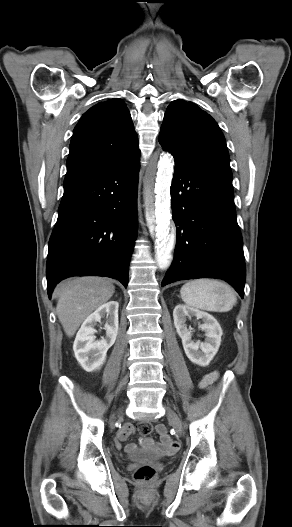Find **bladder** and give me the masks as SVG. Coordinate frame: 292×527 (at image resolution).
Instances as JSON below:
<instances>
[{"label": "bladder", "mask_w": 292, "mask_h": 527, "mask_svg": "<svg viewBox=\"0 0 292 527\" xmlns=\"http://www.w3.org/2000/svg\"><path fill=\"white\" fill-rule=\"evenodd\" d=\"M129 458L132 460H158L162 457L154 453H132L129 455Z\"/></svg>", "instance_id": "obj_1"}]
</instances>
